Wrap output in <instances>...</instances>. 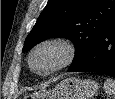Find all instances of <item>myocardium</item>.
Returning <instances> with one entry per match:
<instances>
[{"label": "myocardium", "mask_w": 115, "mask_h": 99, "mask_svg": "<svg viewBox=\"0 0 115 99\" xmlns=\"http://www.w3.org/2000/svg\"><path fill=\"white\" fill-rule=\"evenodd\" d=\"M49 46L58 47L62 51V53H63L62 60L60 61V63L58 65L51 68L50 70L38 71L33 66V58L39 50H41L42 48H45V47H49ZM76 53H77L76 46L70 39L65 38V37L48 38V39H45V40L39 42L31 50V52L29 54V60H28L29 67L34 73H36L38 75L48 76V75L54 74L64 68H66L67 66H69L75 59Z\"/></svg>", "instance_id": "myocardium-1"}]
</instances>
